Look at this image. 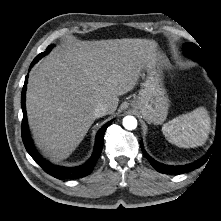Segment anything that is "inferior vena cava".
<instances>
[{"mask_svg":"<svg viewBox=\"0 0 221 221\" xmlns=\"http://www.w3.org/2000/svg\"><path fill=\"white\" fill-rule=\"evenodd\" d=\"M109 109L107 104L100 103L98 104L93 111L95 118L103 117L108 114Z\"/></svg>","mask_w":221,"mask_h":221,"instance_id":"obj_1","label":"inferior vena cava"}]
</instances>
